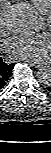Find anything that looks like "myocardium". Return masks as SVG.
I'll list each match as a JSON object with an SVG mask.
<instances>
[{
    "instance_id": "1",
    "label": "myocardium",
    "mask_w": 51,
    "mask_h": 153,
    "mask_svg": "<svg viewBox=\"0 0 51 153\" xmlns=\"http://www.w3.org/2000/svg\"><path fill=\"white\" fill-rule=\"evenodd\" d=\"M46 23L51 28V14L46 16Z\"/></svg>"
}]
</instances>
